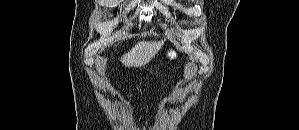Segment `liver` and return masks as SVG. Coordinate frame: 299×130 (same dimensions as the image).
<instances>
[{"label": "liver", "instance_id": "6515ba94", "mask_svg": "<svg viewBox=\"0 0 299 130\" xmlns=\"http://www.w3.org/2000/svg\"><path fill=\"white\" fill-rule=\"evenodd\" d=\"M162 42L140 41L127 53L121 57V62L125 67L139 68L148 63L160 49Z\"/></svg>", "mask_w": 299, "mask_h": 130}]
</instances>
